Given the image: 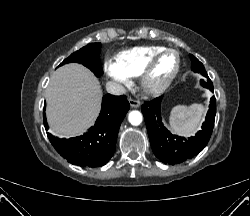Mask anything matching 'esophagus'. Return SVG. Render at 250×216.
Masks as SVG:
<instances>
[{"label": "esophagus", "mask_w": 250, "mask_h": 216, "mask_svg": "<svg viewBox=\"0 0 250 216\" xmlns=\"http://www.w3.org/2000/svg\"><path fill=\"white\" fill-rule=\"evenodd\" d=\"M129 103L132 108H138L140 106V102L132 98L129 99Z\"/></svg>", "instance_id": "34e87169"}]
</instances>
